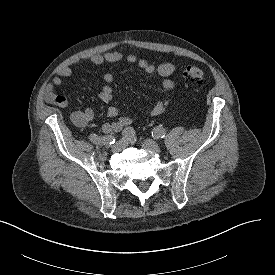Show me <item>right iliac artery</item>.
<instances>
[{"label":"right iliac artery","instance_id":"right-iliac-artery-1","mask_svg":"<svg viewBox=\"0 0 275 275\" xmlns=\"http://www.w3.org/2000/svg\"><path fill=\"white\" fill-rule=\"evenodd\" d=\"M134 135H135V132H134L133 128H131V127H127L122 132V136L126 139H132L134 137ZM90 140L94 144H103V145H111L116 141L115 137L112 136V135L99 137L96 134H91L90 135Z\"/></svg>","mask_w":275,"mask_h":275}]
</instances>
